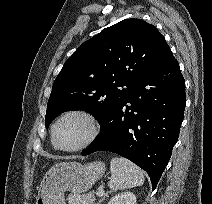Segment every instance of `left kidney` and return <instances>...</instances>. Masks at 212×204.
I'll list each match as a JSON object with an SVG mask.
<instances>
[{
    "label": "left kidney",
    "instance_id": "1",
    "mask_svg": "<svg viewBox=\"0 0 212 204\" xmlns=\"http://www.w3.org/2000/svg\"><path fill=\"white\" fill-rule=\"evenodd\" d=\"M108 204H136V196L133 192L125 191L112 197Z\"/></svg>",
    "mask_w": 212,
    "mask_h": 204
}]
</instances>
